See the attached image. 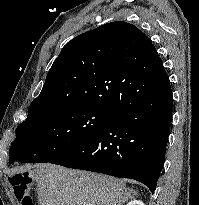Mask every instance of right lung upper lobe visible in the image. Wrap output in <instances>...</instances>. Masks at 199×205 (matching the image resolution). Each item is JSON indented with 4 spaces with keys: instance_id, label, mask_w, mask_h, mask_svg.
<instances>
[{
    "instance_id": "cb5924a9",
    "label": "right lung upper lobe",
    "mask_w": 199,
    "mask_h": 205,
    "mask_svg": "<svg viewBox=\"0 0 199 205\" xmlns=\"http://www.w3.org/2000/svg\"><path fill=\"white\" fill-rule=\"evenodd\" d=\"M161 73L162 60L142 31L122 21L107 23L62 48L29 108L77 104L114 111L154 89Z\"/></svg>"
}]
</instances>
